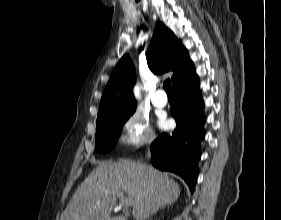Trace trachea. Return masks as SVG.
<instances>
[{
    "label": "trachea",
    "instance_id": "3493384b",
    "mask_svg": "<svg viewBox=\"0 0 281 220\" xmlns=\"http://www.w3.org/2000/svg\"><path fill=\"white\" fill-rule=\"evenodd\" d=\"M163 87L167 93L168 96H172V89H171V82L170 79H167L163 83Z\"/></svg>",
    "mask_w": 281,
    "mask_h": 220
}]
</instances>
